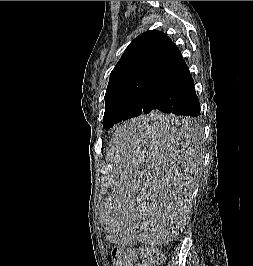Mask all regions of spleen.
I'll return each mask as SVG.
<instances>
[{
	"label": "spleen",
	"mask_w": 253,
	"mask_h": 266,
	"mask_svg": "<svg viewBox=\"0 0 253 266\" xmlns=\"http://www.w3.org/2000/svg\"><path fill=\"white\" fill-rule=\"evenodd\" d=\"M197 130L178 111H147L112 135L113 189L103 190L111 207L101 211L103 242L113 248H166L187 226L196 189Z\"/></svg>",
	"instance_id": "obj_1"
}]
</instances>
